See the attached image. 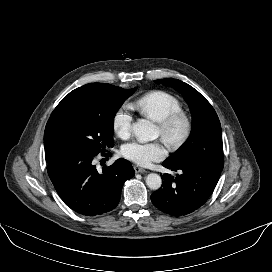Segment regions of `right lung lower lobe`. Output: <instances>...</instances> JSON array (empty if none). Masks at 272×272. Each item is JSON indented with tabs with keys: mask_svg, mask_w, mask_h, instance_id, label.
Here are the masks:
<instances>
[{
	"mask_svg": "<svg viewBox=\"0 0 272 272\" xmlns=\"http://www.w3.org/2000/svg\"><path fill=\"white\" fill-rule=\"evenodd\" d=\"M108 156L109 154H104ZM97 155L77 153L62 155L47 162L49 177L61 199L75 212L94 216L114 209L126 180L135 171L126 159H118L98 171Z\"/></svg>",
	"mask_w": 272,
	"mask_h": 272,
	"instance_id": "obj_1",
	"label": "right lung lower lobe"
}]
</instances>
